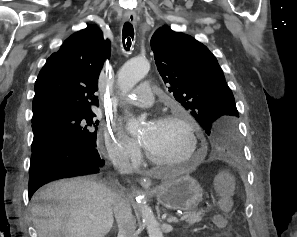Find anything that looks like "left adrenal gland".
Returning a JSON list of instances; mask_svg holds the SVG:
<instances>
[{
  "instance_id": "obj_1",
  "label": "left adrenal gland",
  "mask_w": 297,
  "mask_h": 237,
  "mask_svg": "<svg viewBox=\"0 0 297 237\" xmlns=\"http://www.w3.org/2000/svg\"><path fill=\"white\" fill-rule=\"evenodd\" d=\"M168 222L178 223V220L175 217H170L167 219Z\"/></svg>"
}]
</instances>
